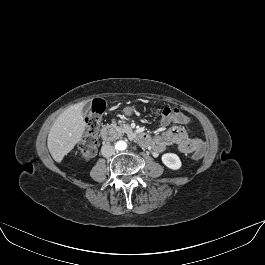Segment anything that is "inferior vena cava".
<instances>
[{
    "label": "inferior vena cava",
    "instance_id": "inferior-vena-cava-1",
    "mask_svg": "<svg viewBox=\"0 0 265 265\" xmlns=\"http://www.w3.org/2000/svg\"><path fill=\"white\" fill-rule=\"evenodd\" d=\"M114 153L115 148L110 144H105L101 147V154L106 158L114 155Z\"/></svg>",
    "mask_w": 265,
    "mask_h": 265
}]
</instances>
